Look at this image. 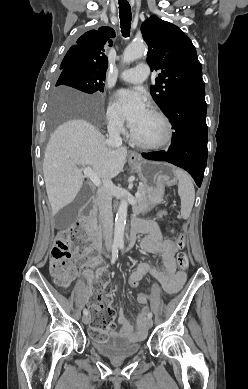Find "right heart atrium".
<instances>
[{"instance_id":"right-heart-atrium-1","label":"right heart atrium","mask_w":248,"mask_h":389,"mask_svg":"<svg viewBox=\"0 0 248 389\" xmlns=\"http://www.w3.org/2000/svg\"><path fill=\"white\" fill-rule=\"evenodd\" d=\"M106 122L109 129L115 132H121L124 129V121L118 108L112 102H109L106 110Z\"/></svg>"}]
</instances>
